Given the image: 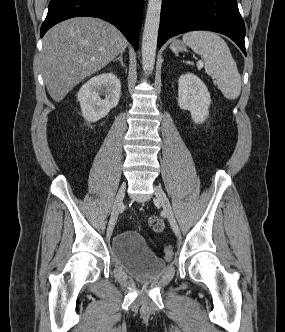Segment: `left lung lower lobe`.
I'll list each match as a JSON object with an SVG mask.
<instances>
[{"instance_id":"obj_1","label":"left lung lower lobe","mask_w":285,"mask_h":332,"mask_svg":"<svg viewBox=\"0 0 285 332\" xmlns=\"http://www.w3.org/2000/svg\"><path fill=\"white\" fill-rule=\"evenodd\" d=\"M209 30L231 38L246 55L245 25L236 0H163L158 48L180 33Z\"/></svg>"}]
</instances>
